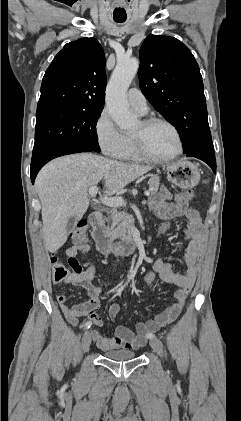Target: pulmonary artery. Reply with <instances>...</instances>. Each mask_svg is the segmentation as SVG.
Returning a JSON list of instances; mask_svg holds the SVG:
<instances>
[{"label": "pulmonary artery", "instance_id": "1", "mask_svg": "<svg viewBox=\"0 0 241 421\" xmlns=\"http://www.w3.org/2000/svg\"><path fill=\"white\" fill-rule=\"evenodd\" d=\"M130 106L140 114H146L148 111L147 101L142 92L137 88H131L127 93Z\"/></svg>", "mask_w": 241, "mask_h": 421}]
</instances>
